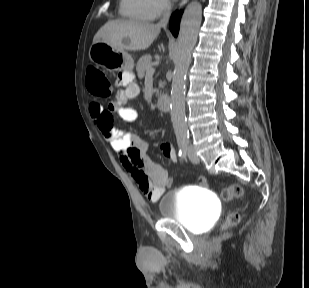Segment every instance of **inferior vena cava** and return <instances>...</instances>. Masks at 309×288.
Listing matches in <instances>:
<instances>
[{"label": "inferior vena cava", "mask_w": 309, "mask_h": 288, "mask_svg": "<svg viewBox=\"0 0 309 288\" xmlns=\"http://www.w3.org/2000/svg\"><path fill=\"white\" fill-rule=\"evenodd\" d=\"M171 3H168V10L167 13L163 15V18L160 20V22L158 23L159 27H165L168 23L169 20V16H170V10H171Z\"/></svg>", "instance_id": "602c4592"}]
</instances>
